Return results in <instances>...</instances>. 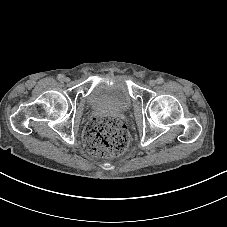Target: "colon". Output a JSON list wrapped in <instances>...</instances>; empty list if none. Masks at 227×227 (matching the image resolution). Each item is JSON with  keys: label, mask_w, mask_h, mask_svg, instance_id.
<instances>
[{"label": "colon", "mask_w": 227, "mask_h": 227, "mask_svg": "<svg viewBox=\"0 0 227 227\" xmlns=\"http://www.w3.org/2000/svg\"><path fill=\"white\" fill-rule=\"evenodd\" d=\"M84 140L91 154L115 157L126 151L129 134L120 120L111 116H96L86 127Z\"/></svg>", "instance_id": "obj_1"}]
</instances>
